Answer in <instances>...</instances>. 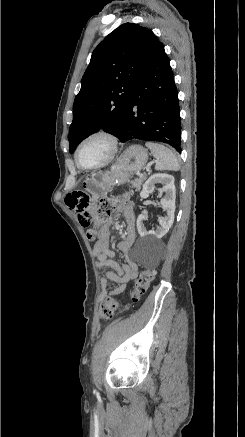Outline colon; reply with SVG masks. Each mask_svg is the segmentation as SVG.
<instances>
[{"instance_id": "5ec220e1", "label": "colon", "mask_w": 245, "mask_h": 437, "mask_svg": "<svg viewBox=\"0 0 245 437\" xmlns=\"http://www.w3.org/2000/svg\"><path fill=\"white\" fill-rule=\"evenodd\" d=\"M114 203L115 200L112 198L101 199L90 214L92 227L87 229L89 240H95L98 237L100 232L98 225L109 219ZM154 277L155 272L151 269H145L139 274L130 294V300L133 303L138 302L141 296L146 293ZM119 305V301L112 294H107L100 308V319L102 321L112 319Z\"/></svg>"}]
</instances>
